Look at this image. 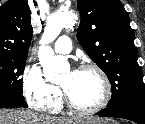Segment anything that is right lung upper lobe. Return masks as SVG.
<instances>
[{
    "label": "right lung upper lobe",
    "instance_id": "right-lung-upper-lobe-1",
    "mask_svg": "<svg viewBox=\"0 0 145 124\" xmlns=\"http://www.w3.org/2000/svg\"><path fill=\"white\" fill-rule=\"evenodd\" d=\"M32 36L26 0H9L0 7V56L27 58Z\"/></svg>",
    "mask_w": 145,
    "mask_h": 124
}]
</instances>
